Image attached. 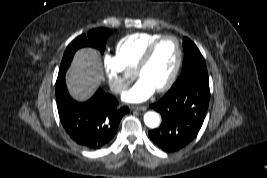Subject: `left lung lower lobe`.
<instances>
[{
  "label": "left lung lower lobe",
  "mask_w": 267,
  "mask_h": 178,
  "mask_svg": "<svg viewBox=\"0 0 267 178\" xmlns=\"http://www.w3.org/2000/svg\"><path fill=\"white\" fill-rule=\"evenodd\" d=\"M209 83L189 80L172 86L151 105L162 116L158 128L149 131L153 143L166 152L178 151L198 134L209 106Z\"/></svg>",
  "instance_id": "left-lung-lower-lobe-1"
}]
</instances>
